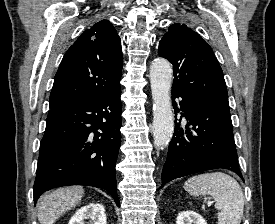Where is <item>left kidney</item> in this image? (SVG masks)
Returning a JSON list of instances; mask_svg holds the SVG:
<instances>
[{"instance_id": "5707ae66", "label": "left kidney", "mask_w": 275, "mask_h": 224, "mask_svg": "<svg viewBox=\"0 0 275 224\" xmlns=\"http://www.w3.org/2000/svg\"><path fill=\"white\" fill-rule=\"evenodd\" d=\"M176 224H207V222L198 213L187 210L179 213Z\"/></svg>"}]
</instances>
